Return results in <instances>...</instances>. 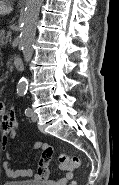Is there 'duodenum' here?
<instances>
[{
    "instance_id": "1",
    "label": "duodenum",
    "mask_w": 119,
    "mask_h": 185,
    "mask_svg": "<svg viewBox=\"0 0 119 185\" xmlns=\"http://www.w3.org/2000/svg\"><path fill=\"white\" fill-rule=\"evenodd\" d=\"M13 63L17 70L22 71L24 69V62L20 56H15L13 59Z\"/></svg>"
}]
</instances>
